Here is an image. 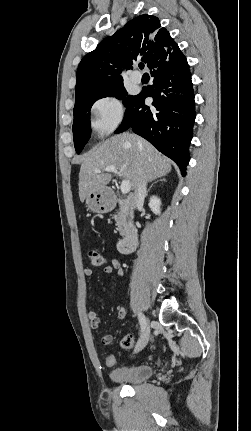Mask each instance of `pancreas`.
Listing matches in <instances>:
<instances>
[{"label": "pancreas", "mask_w": 251, "mask_h": 431, "mask_svg": "<svg viewBox=\"0 0 251 431\" xmlns=\"http://www.w3.org/2000/svg\"><path fill=\"white\" fill-rule=\"evenodd\" d=\"M128 215V209L124 207H120L119 212L117 213V215H115L116 226L120 235L122 236L125 235Z\"/></svg>", "instance_id": "pancreas-1"}]
</instances>
